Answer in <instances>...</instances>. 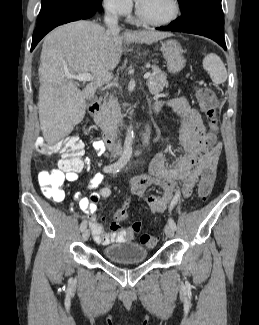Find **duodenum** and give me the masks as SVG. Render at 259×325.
<instances>
[{
  "instance_id": "1",
  "label": "duodenum",
  "mask_w": 259,
  "mask_h": 325,
  "mask_svg": "<svg viewBox=\"0 0 259 325\" xmlns=\"http://www.w3.org/2000/svg\"><path fill=\"white\" fill-rule=\"evenodd\" d=\"M100 110H101V102L100 101L93 102L92 104H90L89 109H88L90 116L94 119L99 117ZM150 129H151L150 121L149 120L144 121L142 130L140 132L139 139H138L139 146L144 145L148 141ZM103 143L107 148H109L110 150H113V151H118L120 149H126L127 147H132V145H133V141L131 139H126L123 142H120L115 137V135L112 133H105L103 135Z\"/></svg>"
}]
</instances>
